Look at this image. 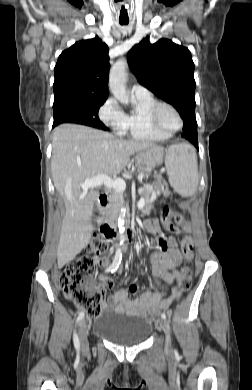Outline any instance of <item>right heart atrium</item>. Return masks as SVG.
<instances>
[{"instance_id": "d8ad5b80", "label": "right heart atrium", "mask_w": 252, "mask_h": 390, "mask_svg": "<svg viewBox=\"0 0 252 390\" xmlns=\"http://www.w3.org/2000/svg\"><path fill=\"white\" fill-rule=\"evenodd\" d=\"M99 118L117 134L125 131V113L121 110L117 101L110 97L99 109Z\"/></svg>"}]
</instances>
